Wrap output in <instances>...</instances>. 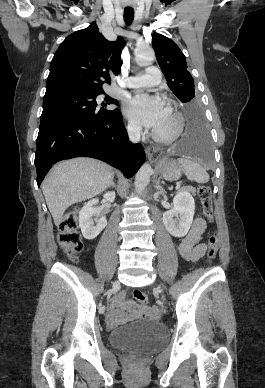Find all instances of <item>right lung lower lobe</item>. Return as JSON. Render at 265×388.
<instances>
[{
	"mask_svg": "<svg viewBox=\"0 0 265 388\" xmlns=\"http://www.w3.org/2000/svg\"><path fill=\"white\" fill-rule=\"evenodd\" d=\"M78 156L103 160L132 177L145 161L141 144L128 141L121 113L101 120L64 117L40 124L35 153L37 184L56 162Z\"/></svg>",
	"mask_w": 265,
	"mask_h": 388,
	"instance_id": "1",
	"label": "right lung lower lobe"
}]
</instances>
